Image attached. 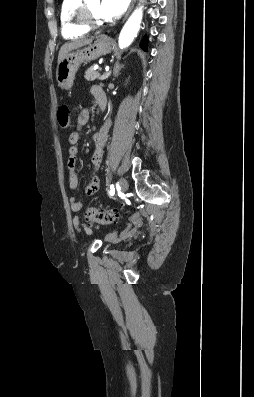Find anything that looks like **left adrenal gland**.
<instances>
[{
    "mask_svg": "<svg viewBox=\"0 0 254 397\" xmlns=\"http://www.w3.org/2000/svg\"><path fill=\"white\" fill-rule=\"evenodd\" d=\"M124 67V65H120L118 62L114 65L113 76L114 79L118 77L120 70Z\"/></svg>",
    "mask_w": 254,
    "mask_h": 397,
    "instance_id": "a2214340",
    "label": "left adrenal gland"
}]
</instances>
